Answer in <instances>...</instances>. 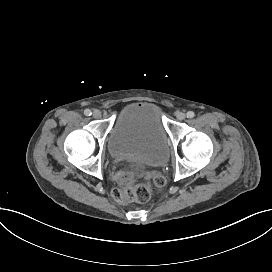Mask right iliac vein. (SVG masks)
I'll use <instances>...</instances> for the list:
<instances>
[{
	"label": "right iliac vein",
	"mask_w": 272,
	"mask_h": 272,
	"mask_svg": "<svg viewBox=\"0 0 272 272\" xmlns=\"http://www.w3.org/2000/svg\"><path fill=\"white\" fill-rule=\"evenodd\" d=\"M92 115L94 118L98 119L101 117V112L99 110H94Z\"/></svg>",
	"instance_id": "1"
}]
</instances>
